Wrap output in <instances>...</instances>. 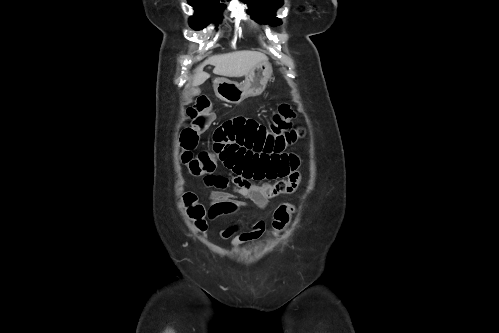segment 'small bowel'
<instances>
[{
    "instance_id": "1",
    "label": "small bowel",
    "mask_w": 499,
    "mask_h": 333,
    "mask_svg": "<svg viewBox=\"0 0 499 333\" xmlns=\"http://www.w3.org/2000/svg\"><path fill=\"white\" fill-rule=\"evenodd\" d=\"M298 136L299 131L294 128L275 135L265 125L244 117L226 121L218 127L213 135L212 150L230 174H209L204 178L205 185L215 188L210 194L209 217L247 208L245 199L265 210L270 199L293 193L301 181L299 159L288 152L287 147ZM274 179L281 180L268 182ZM264 227L265 221L256 218L248 231H241L240 224H232L221 229L219 237L231 239L236 246L260 237Z\"/></svg>"
}]
</instances>
